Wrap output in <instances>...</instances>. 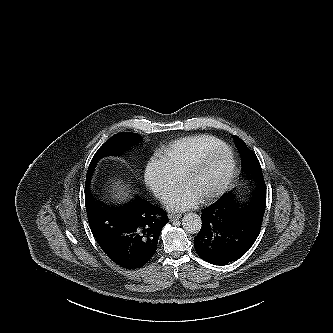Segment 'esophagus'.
<instances>
[{"label":"esophagus","mask_w":333,"mask_h":333,"mask_svg":"<svg viewBox=\"0 0 333 333\" xmlns=\"http://www.w3.org/2000/svg\"><path fill=\"white\" fill-rule=\"evenodd\" d=\"M181 218V215L180 214H170L169 215V220L172 222V221H176V220H179Z\"/></svg>","instance_id":"34e87169"}]
</instances>
